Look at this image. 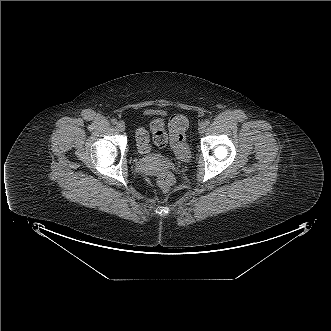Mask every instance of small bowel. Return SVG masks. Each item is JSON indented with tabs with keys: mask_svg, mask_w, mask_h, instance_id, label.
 Instances as JSON below:
<instances>
[{
	"mask_svg": "<svg viewBox=\"0 0 331 331\" xmlns=\"http://www.w3.org/2000/svg\"><path fill=\"white\" fill-rule=\"evenodd\" d=\"M159 126L162 127V122H161V121L157 120V121L153 122V124H152V130L154 131V130L156 129V127H159ZM143 140H145V142H146V147H145V149H147L148 135H147V133H146L144 130H140V131L138 132V134H137V142H138V145H139V147H140L141 149H143V148H142ZM145 149H144V150H145Z\"/></svg>",
	"mask_w": 331,
	"mask_h": 331,
	"instance_id": "c3829d8e",
	"label": "small bowel"
}]
</instances>
